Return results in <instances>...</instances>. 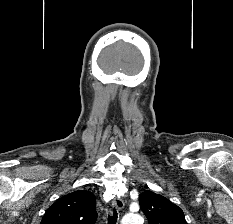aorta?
Here are the masks:
<instances>
[{
	"label": "aorta",
	"instance_id": "obj_1",
	"mask_svg": "<svg viewBox=\"0 0 233 224\" xmlns=\"http://www.w3.org/2000/svg\"><path fill=\"white\" fill-rule=\"evenodd\" d=\"M121 224H143V219L138 214L129 213L122 218Z\"/></svg>",
	"mask_w": 233,
	"mask_h": 224
}]
</instances>
